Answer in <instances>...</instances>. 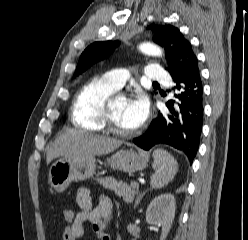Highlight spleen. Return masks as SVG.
<instances>
[{
    "mask_svg": "<svg viewBox=\"0 0 248 240\" xmlns=\"http://www.w3.org/2000/svg\"><path fill=\"white\" fill-rule=\"evenodd\" d=\"M154 174L151 176L152 188L159 189L173 180L178 170V163L170 153L163 149H155L153 152Z\"/></svg>",
    "mask_w": 248,
    "mask_h": 240,
    "instance_id": "3e777b00",
    "label": "spleen"
}]
</instances>
